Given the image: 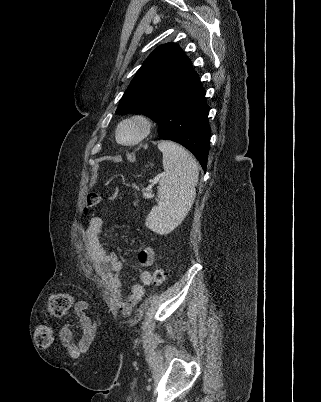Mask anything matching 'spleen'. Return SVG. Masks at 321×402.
I'll list each match as a JSON object with an SVG mask.
<instances>
[{
    "mask_svg": "<svg viewBox=\"0 0 321 402\" xmlns=\"http://www.w3.org/2000/svg\"><path fill=\"white\" fill-rule=\"evenodd\" d=\"M165 173L159 181L158 205L146 218V226L158 234L173 230L186 216L195 200L198 165L192 155L180 145L161 141Z\"/></svg>",
    "mask_w": 321,
    "mask_h": 402,
    "instance_id": "3e777b00",
    "label": "spleen"
}]
</instances>
